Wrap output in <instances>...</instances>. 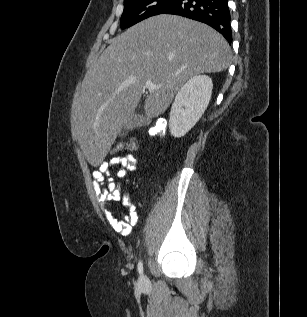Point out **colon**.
Listing matches in <instances>:
<instances>
[{
	"label": "colon",
	"mask_w": 307,
	"mask_h": 317,
	"mask_svg": "<svg viewBox=\"0 0 307 317\" xmlns=\"http://www.w3.org/2000/svg\"><path fill=\"white\" fill-rule=\"evenodd\" d=\"M167 122L165 119H158L149 130V134L156 140H163L166 135ZM138 149V141L135 137H130L127 142L115 144L110 149L112 157L124 154H132Z\"/></svg>",
	"instance_id": "5ec220e1"
}]
</instances>
